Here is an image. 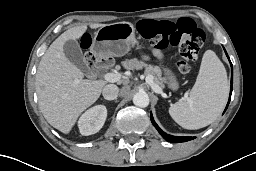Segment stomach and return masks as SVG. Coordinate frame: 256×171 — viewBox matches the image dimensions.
Returning <instances> with one entry per match:
<instances>
[{
  "label": "stomach",
  "instance_id": "stomach-1",
  "mask_svg": "<svg viewBox=\"0 0 256 171\" xmlns=\"http://www.w3.org/2000/svg\"><path fill=\"white\" fill-rule=\"evenodd\" d=\"M135 28L130 22H118L101 27L94 37L92 53L98 59L125 55L131 46H138ZM165 82L172 91L179 89L175 74L167 67L163 68Z\"/></svg>",
  "mask_w": 256,
  "mask_h": 171
}]
</instances>
